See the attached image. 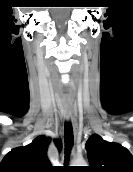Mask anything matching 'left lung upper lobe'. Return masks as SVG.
<instances>
[{"instance_id": "1", "label": "left lung upper lobe", "mask_w": 133, "mask_h": 172, "mask_svg": "<svg viewBox=\"0 0 133 172\" xmlns=\"http://www.w3.org/2000/svg\"><path fill=\"white\" fill-rule=\"evenodd\" d=\"M86 150L90 166L85 167V172H133V157L120 144L94 134L88 139Z\"/></svg>"}]
</instances>
